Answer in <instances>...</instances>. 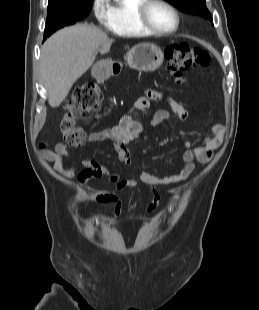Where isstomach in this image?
Here are the masks:
<instances>
[{"label": "stomach", "mask_w": 259, "mask_h": 310, "mask_svg": "<svg viewBox=\"0 0 259 310\" xmlns=\"http://www.w3.org/2000/svg\"><path fill=\"white\" fill-rule=\"evenodd\" d=\"M127 64L138 71L151 72L158 69L164 60L162 50L150 43H141L132 47L126 55ZM93 72L99 79L110 76L111 70L108 61L95 65Z\"/></svg>", "instance_id": "stomach-1"}]
</instances>
